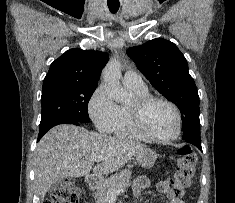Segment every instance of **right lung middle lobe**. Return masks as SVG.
Returning <instances> with one entry per match:
<instances>
[{
  "mask_svg": "<svg viewBox=\"0 0 235 203\" xmlns=\"http://www.w3.org/2000/svg\"><path fill=\"white\" fill-rule=\"evenodd\" d=\"M97 84L64 83L43 87L40 128L59 121H90L87 105Z\"/></svg>",
  "mask_w": 235,
  "mask_h": 203,
  "instance_id": "right-lung-middle-lobe-1",
  "label": "right lung middle lobe"
}]
</instances>
